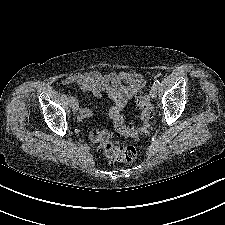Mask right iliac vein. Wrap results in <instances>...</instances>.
I'll return each instance as SVG.
<instances>
[{
    "label": "right iliac vein",
    "mask_w": 225,
    "mask_h": 225,
    "mask_svg": "<svg viewBox=\"0 0 225 225\" xmlns=\"http://www.w3.org/2000/svg\"><path fill=\"white\" fill-rule=\"evenodd\" d=\"M70 106L74 113H76L78 111V108H79L78 102L74 97H73L72 101L70 102Z\"/></svg>",
    "instance_id": "1"
}]
</instances>
